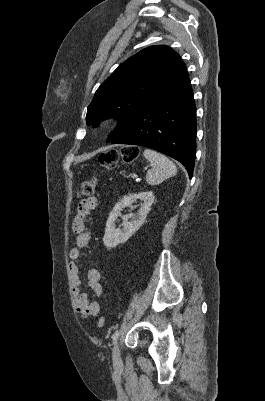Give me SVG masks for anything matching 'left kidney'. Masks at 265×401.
I'll return each mask as SVG.
<instances>
[{
    "label": "left kidney",
    "instance_id": "5707ae66",
    "mask_svg": "<svg viewBox=\"0 0 265 401\" xmlns=\"http://www.w3.org/2000/svg\"><path fill=\"white\" fill-rule=\"evenodd\" d=\"M137 198H140L141 209H138L136 215L130 213V215H124L123 231L121 229H116L115 221L117 217H121L122 209L125 207H132V203L137 201ZM154 194L152 190H146V192H133V194H127V196H123L120 198L119 203H116L114 209H112L106 223V231L103 237L105 247L108 249H114L120 243H126L132 235H134L135 231H138L139 227H141L142 223H144L152 203H154ZM128 219H133V221H128Z\"/></svg>",
    "mask_w": 265,
    "mask_h": 401
}]
</instances>
